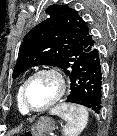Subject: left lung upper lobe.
I'll list each match as a JSON object with an SVG mask.
<instances>
[{
    "mask_svg": "<svg viewBox=\"0 0 117 136\" xmlns=\"http://www.w3.org/2000/svg\"><path fill=\"white\" fill-rule=\"evenodd\" d=\"M46 13L49 18L25 35L13 78L37 65L60 67L68 76L77 58L94 44L95 36L75 9L68 5H52Z\"/></svg>",
    "mask_w": 117,
    "mask_h": 136,
    "instance_id": "obj_1",
    "label": "left lung upper lobe"
}]
</instances>
